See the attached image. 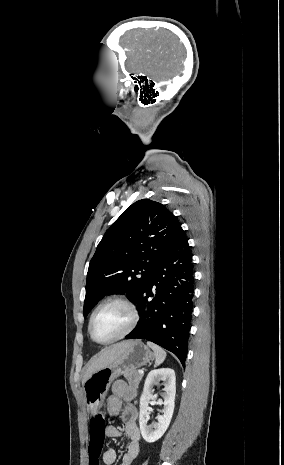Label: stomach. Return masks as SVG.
I'll use <instances>...</instances> for the list:
<instances>
[{
  "label": "stomach",
  "mask_w": 284,
  "mask_h": 465,
  "mask_svg": "<svg viewBox=\"0 0 284 465\" xmlns=\"http://www.w3.org/2000/svg\"><path fill=\"white\" fill-rule=\"evenodd\" d=\"M154 357V353L141 341H130L125 351L120 353L114 363H110L104 369H99L85 381L83 389L87 411L92 415L100 411L110 385L116 377L123 375L126 371L128 373L129 371H136L139 367L150 363Z\"/></svg>",
  "instance_id": "0dacf381"
}]
</instances>
